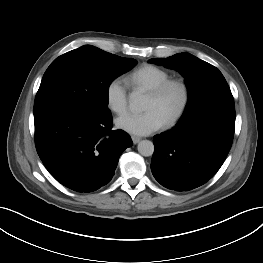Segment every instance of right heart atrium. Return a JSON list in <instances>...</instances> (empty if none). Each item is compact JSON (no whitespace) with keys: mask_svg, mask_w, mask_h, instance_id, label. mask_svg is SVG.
Listing matches in <instances>:
<instances>
[{"mask_svg":"<svg viewBox=\"0 0 263 263\" xmlns=\"http://www.w3.org/2000/svg\"><path fill=\"white\" fill-rule=\"evenodd\" d=\"M105 99L108 108L112 112L116 114L125 112L128 97L125 83L121 78L116 77L108 82L105 89Z\"/></svg>","mask_w":263,"mask_h":263,"instance_id":"right-heart-atrium-1","label":"right heart atrium"}]
</instances>
